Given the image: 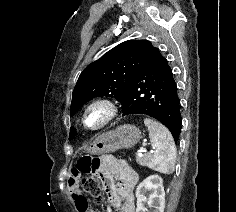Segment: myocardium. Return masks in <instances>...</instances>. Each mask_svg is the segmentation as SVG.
Masks as SVG:
<instances>
[{"label": "myocardium", "instance_id": "myocardium-1", "mask_svg": "<svg viewBox=\"0 0 236 212\" xmlns=\"http://www.w3.org/2000/svg\"><path fill=\"white\" fill-rule=\"evenodd\" d=\"M95 109H101L104 113V117L99 124L90 126L87 124V116ZM117 112L118 108L113 101L106 98H97L86 105L82 113L81 121L86 129L96 131L108 125L116 117Z\"/></svg>", "mask_w": 236, "mask_h": 212}]
</instances>
